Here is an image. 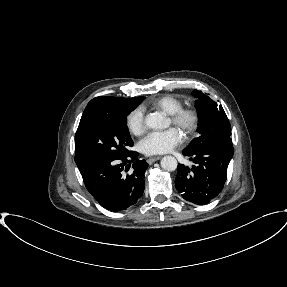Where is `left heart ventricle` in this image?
Masks as SVG:
<instances>
[{"label":"left heart ventricle","instance_id":"obj_1","mask_svg":"<svg viewBox=\"0 0 287 287\" xmlns=\"http://www.w3.org/2000/svg\"><path fill=\"white\" fill-rule=\"evenodd\" d=\"M169 124L171 125L172 124V122H171V120L169 119ZM181 131H182V129L181 128H179Z\"/></svg>","mask_w":287,"mask_h":287}]
</instances>
